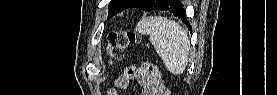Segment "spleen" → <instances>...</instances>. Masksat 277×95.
<instances>
[{
  "label": "spleen",
  "instance_id": "obj_1",
  "mask_svg": "<svg viewBox=\"0 0 277 95\" xmlns=\"http://www.w3.org/2000/svg\"><path fill=\"white\" fill-rule=\"evenodd\" d=\"M136 30L149 35V40L166 68L173 74H182L188 63L190 42L186 31L175 21L153 16L138 22Z\"/></svg>",
  "mask_w": 277,
  "mask_h": 95
}]
</instances>
